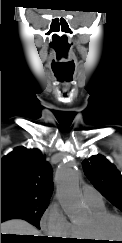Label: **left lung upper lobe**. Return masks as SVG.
<instances>
[{"mask_svg": "<svg viewBox=\"0 0 122 243\" xmlns=\"http://www.w3.org/2000/svg\"><path fill=\"white\" fill-rule=\"evenodd\" d=\"M82 166L94 187L122 211V176L116 167L102 155L85 159Z\"/></svg>", "mask_w": 122, "mask_h": 243, "instance_id": "obj_1", "label": "left lung upper lobe"}]
</instances>
